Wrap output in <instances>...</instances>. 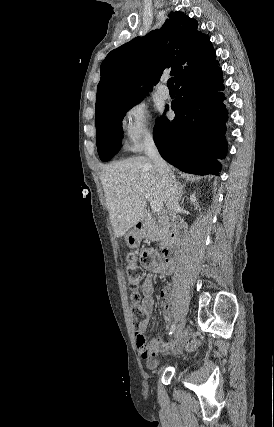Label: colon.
<instances>
[{"label": "colon", "mask_w": 274, "mask_h": 427, "mask_svg": "<svg viewBox=\"0 0 274 427\" xmlns=\"http://www.w3.org/2000/svg\"><path fill=\"white\" fill-rule=\"evenodd\" d=\"M146 256L141 252H130L127 256V274L126 278L130 293L135 296L138 292V285L142 279V265L145 263ZM130 311L134 319H140L143 317V309L138 304L137 300L134 299L130 303ZM198 345V341H194L189 344L190 348H195Z\"/></svg>", "instance_id": "5ec220e1"}]
</instances>
